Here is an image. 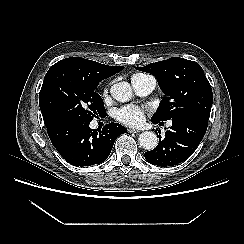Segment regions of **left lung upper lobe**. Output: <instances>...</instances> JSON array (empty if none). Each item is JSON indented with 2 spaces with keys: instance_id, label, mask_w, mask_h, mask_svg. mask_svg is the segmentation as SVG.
<instances>
[{
  "instance_id": "5c2ea615",
  "label": "left lung upper lobe",
  "mask_w": 244,
  "mask_h": 244,
  "mask_svg": "<svg viewBox=\"0 0 244 244\" xmlns=\"http://www.w3.org/2000/svg\"><path fill=\"white\" fill-rule=\"evenodd\" d=\"M136 69L154 75L166 94L151 120L166 121L186 114L209 120L213 93L198 63L172 57Z\"/></svg>"
}]
</instances>
